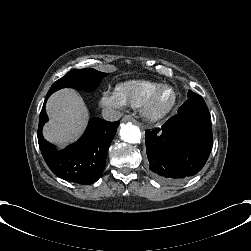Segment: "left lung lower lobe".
<instances>
[{
  "mask_svg": "<svg viewBox=\"0 0 251 251\" xmlns=\"http://www.w3.org/2000/svg\"><path fill=\"white\" fill-rule=\"evenodd\" d=\"M149 169L167 184L188 180L205 165L212 150L211 116L182 111L161 129L145 132Z\"/></svg>",
  "mask_w": 251,
  "mask_h": 251,
  "instance_id": "obj_1",
  "label": "left lung lower lobe"
}]
</instances>
